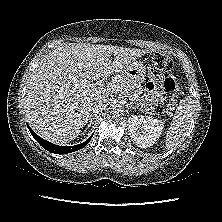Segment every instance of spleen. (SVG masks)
<instances>
[{
    "instance_id": "obj_1",
    "label": "spleen",
    "mask_w": 222,
    "mask_h": 222,
    "mask_svg": "<svg viewBox=\"0 0 222 222\" xmlns=\"http://www.w3.org/2000/svg\"><path fill=\"white\" fill-rule=\"evenodd\" d=\"M193 109V100L190 96L180 101L167 131L165 141V148L167 150L176 147L183 141L192 122Z\"/></svg>"
}]
</instances>
